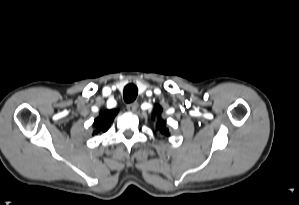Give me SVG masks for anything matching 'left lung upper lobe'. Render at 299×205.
Returning a JSON list of instances; mask_svg holds the SVG:
<instances>
[{
  "label": "left lung upper lobe",
  "mask_w": 299,
  "mask_h": 205,
  "mask_svg": "<svg viewBox=\"0 0 299 205\" xmlns=\"http://www.w3.org/2000/svg\"><path fill=\"white\" fill-rule=\"evenodd\" d=\"M161 107L159 105H155V113L152 114V119H159L158 123H157V129L161 132V134L168 136L169 135V131L168 128L166 127V123L164 120H161L160 117V112H161Z\"/></svg>",
  "instance_id": "5c2ea615"
}]
</instances>
